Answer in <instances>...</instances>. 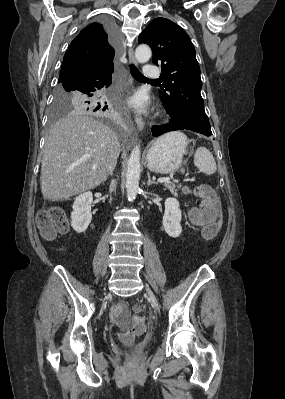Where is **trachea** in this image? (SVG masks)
<instances>
[{"label": "trachea", "mask_w": 285, "mask_h": 399, "mask_svg": "<svg viewBox=\"0 0 285 399\" xmlns=\"http://www.w3.org/2000/svg\"><path fill=\"white\" fill-rule=\"evenodd\" d=\"M130 71H131V75L140 81H152V82H157L158 80H152V79H147L143 76V74L134 66L131 65L130 66Z\"/></svg>", "instance_id": "3493384b"}]
</instances>
